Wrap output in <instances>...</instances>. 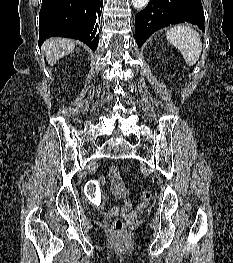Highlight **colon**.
<instances>
[{
	"mask_svg": "<svg viewBox=\"0 0 233 263\" xmlns=\"http://www.w3.org/2000/svg\"><path fill=\"white\" fill-rule=\"evenodd\" d=\"M85 190L87 191L85 198L88 199L89 202L93 204L95 202H100L102 198L103 191L100 190V183L98 180H93L92 182H86ZM140 197L144 203H147L151 199L150 191L144 190L140 193ZM125 231V223L122 219L114 220L112 224V232L116 236H120Z\"/></svg>",
	"mask_w": 233,
	"mask_h": 263,
	"instance_id": "colon-1",
	"label": "colon"
}]
</instances>
